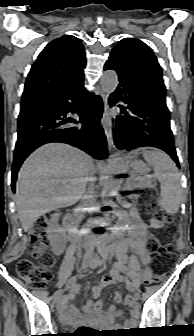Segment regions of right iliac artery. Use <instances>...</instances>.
Wrapping results in <instances>:
<instances>
[{"label":"right iliac artery","instance_id":"82829eb1","mask_svg":"<svg viewBox=\"0 0 194 336\" xmlns=\"http://www.w3.org/2000/svg\"><path fill=\"white\" fill-rule=\"evenodd\" d=\"M77 277H81V272L79 271L78 272V275H75L73 277H71L68 282H67V285H66V288L67 289H72L73 286L76 285V281H77ZM76 291V289H74ZM74 297V293L73 292H69L68 294L64 295L63 298L61 299L62 302L68 300V299H71Z\"/></svg>","mask_w":194,"mask_h":336}]
</instances>
